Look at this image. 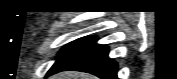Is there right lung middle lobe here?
<instances>
[{
	"mask_svg": "<svg viewBox=\"0 0 177 79\" xmlns=\"http://www.w3.org/2000/svg\"><path fill=\"white\" fill-rule=\"evenodd\" d=\"M87 40V38H81L78 39L68 45H66L59 53V57L56 61V63L53 65L55 66L56 64H58L62 59H64L68 54H70L72 51H74L76 48H78L80 45H82L85 41Z\"/></svg>",
	"mask_w": 177,
	"mask_h": 79,
	"instance_id": "right-lung-middle-lobe-1",
	"label": "right lung middle lobe"
}]
</instances>
